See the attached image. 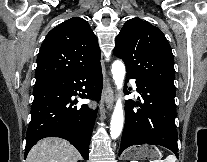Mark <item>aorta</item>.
<instances>
[{
    "instance_id": "762f6f07",
    "label": "aorta",
    "mask_w": 207,
    "mask_h": 162,
    "mask_svg": "<svg viewBox=\"0 0 207 162\" xmlns=\"http://www.w3.org/2000/svg\"><path fill=\"white\" fill-rule=\"evenodd\" d=\"M112 75L118 90L123 87L125 77V65L122 61L116 60L112 64ZM124 110L121 99H118L112 114L110 122V136L112 139H117L123 128Z\"/></svg>"
}]
</instances>
